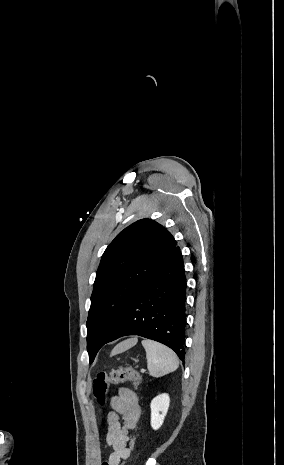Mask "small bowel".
<instances>
[{
  "label": "small bowel",
  "instance_id": "1",
  "mask_svg": "<svg viewBox=\"0 0 284 465\" xmlns=\"http://www.w3.org/2000/svg\"><path fill=\"white\" fill-rule=\"evenodd\" d=\"M110 405L112 411L107 415L106 443L112 447L113 452L102 465H119L121 460L130 456L127 444L140 418L141 409L137 395L129 388H121L110 399Z\"/></svg>",
  "mask_w": 284,
  "mask_h": 465
}]
</instances>
